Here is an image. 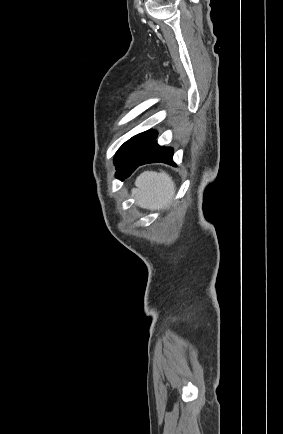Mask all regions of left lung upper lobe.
Wrapping results in <instances>:
<instances>
[{
    "instance_id": "left-lung-upper-lobe-1",
    "label": "left lung upper lobe",
    "mask_w": 283,
    "mask_h": 434,
    "mask_svg": "<svg viewBox=\"0 0 283 434\" xmlns=\"http://www.w3.org/2000/svg\"><path fill=\"white\" fill-rule=\"evenodd\" d=\"M157 138V133L149 130L140 133L125 142L116 152L115 166L142 157Z\"/></svg>"
}]
</instances>
